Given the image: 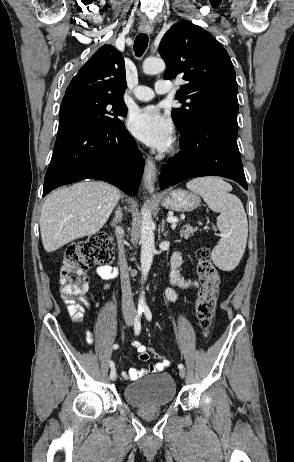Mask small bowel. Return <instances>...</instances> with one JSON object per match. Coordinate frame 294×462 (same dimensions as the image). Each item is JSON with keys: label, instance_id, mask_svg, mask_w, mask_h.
<instances>
[{"label": "small bowel", "instance_id": "1", "mask_svg": "<svg viewBox=\"0 0 294 462\" xmlns=\"http://www.w3.org/2000/svg\"><path fill=\"white\" fill-rule=\"evenodd\" d=\"M182 263V257L178 252H175L171 259V270L169 274V282L171 287L168 288L165 292L166 299L169 301H175L178 298V289L186 290V289H197L199 287V281L197 279L192 278H183L179 273V267ZM117 269L110 265H103L99 266L96 269L95 274L106 281L113 280L117 276ZM107 287V286H106ZM85 305L88 307V303L84 302ZM86 341L89 344L93 343V336L91 331H86ZM133 346L137 349L139 353V358L142 361H147L149 359V350L144 345L139 342H134ZM169 362L166 359L159 360L157 362L151 363L147 369L137 370L131 368L127 372H123L122 376L127 380H137L141 376L148 374V373H155L162 371L165 367H167Z\"/></svg>", "mask_w": 294, "mask_h": 462}]
</instances>
